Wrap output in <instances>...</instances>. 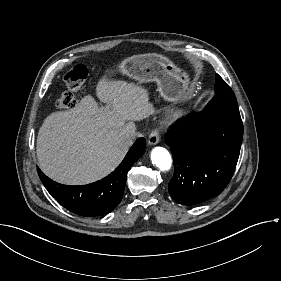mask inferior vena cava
<instances>
[{"mask_svg": "<svg viewBox=\"0 0 281 281\" xmlns=\"http://www.w3.org/2000/svg\"><path fill=\"white\" fill-rule=\"evenodd\" d=\"M136 133H127L122 136V139L129 145H132L134 140L136 139Z\"/></svg>", "mask_w": 281, "mask_h": 281, "instance_id": "602c4592", "label": "inferior vena cava"}]
</instances>
